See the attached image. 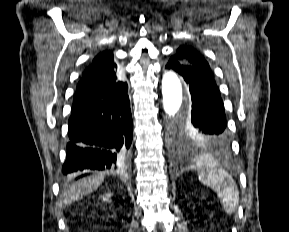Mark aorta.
Wrapping results in <instances>:
<instances>
[{
  "label": "aorta",
  "instance_id": "762f6f07",
  "mask_svg": "<svg viewBox=\"0 0 289 232\" xmlns=\"http://www.w3.org/2000/svg\"><path fill=\"white\" fill-rule=\"evenodd\" d=\"M162 95L165 113L173 119L187 120L189 104L185 100L184 111L181 112L184 104V96L181 82L172 71L164 72L162 76Z\"/></svg>",
  "mask_w": 289,
  "mask_h": 232
}]
</instances>
